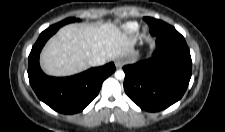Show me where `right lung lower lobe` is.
<instances>
[{"mask_svg":"<svg viewBox=\"0 0 225 132\" xmlns=\"http://www.w3.org/2000/svg\"><path fill=\"white\" fill-rule=\"evenodd\" d=\"M59 28L52 25L40 34L29 55L28 77L41 101L57 112L73 114L82 111L94 100L102 82L115 71V66L111 62L71 77L56 78L45 75L39 66V53Z\"/></svg>","mask_w":225,"mask_h":132,"instance_id":"1","label":"right lung lower lobe"}]
</instances>
